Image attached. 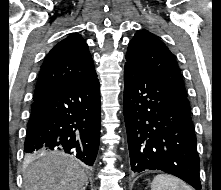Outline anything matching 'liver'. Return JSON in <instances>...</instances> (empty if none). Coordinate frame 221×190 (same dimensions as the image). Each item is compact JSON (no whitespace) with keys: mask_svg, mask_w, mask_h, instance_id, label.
I'll return each instance as SVG.
<instances>
[{"mask_svg":"<svg viewBox=\"0 0 221 190\" xmlns=\"http://www.w3.org/2000/svg\"><path fill=\"white\" fill-rule=\"evenodd\" d=\"M24 162L23 190H81L88 184L84 169L71 157L46 156Z\"/></svg>","mask_w":221,"mask_h":190,"instance_id":"1","label":"liver"}]
</instances>
